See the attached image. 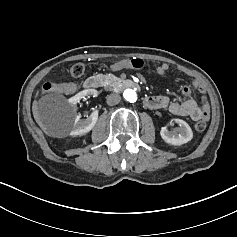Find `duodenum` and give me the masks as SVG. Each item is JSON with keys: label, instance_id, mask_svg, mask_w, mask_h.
<instances>
[{"label": "duodenum", "instance_id": "duodenum-1", "mask_svg": "<svg viewBox=\"0 0 237 237\" xmlns=\"http://www.w3.org/2000/svg\"><path fill=\"white\" fill-rule=\"evenodd\" d=\"M123 84L126 87L133 88V89H139L140 88L139 84L136 81L132 80V79H125L123 81ZM101 85H102V79L98 76L89 77L85 81V84H84L85 88H87V89H97Z\"/></svg>", "mask_w": 237, "mask_h": 237}]
</instances>
